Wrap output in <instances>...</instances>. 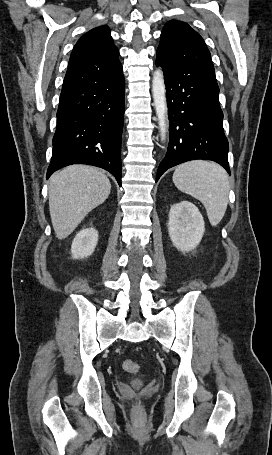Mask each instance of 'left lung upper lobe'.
<instances>
[{
    "label": "left lung upper lobe",
    "mask_w": 272,
    "mask_h": 455,
    "mask_svg": "<svg viewBox=\"0 0 272 455\" xmlns=\"http://www.w3.org/2000/svg\"><path fill=\"white\" fill-rule=\"evenodd\" d=\"M157 58L171 68L185 65L214 68L203 38L187 23L178 20L165 24Z\"/></svg>",
    "instance_id": "5c2ea615"
}]
</instances>
